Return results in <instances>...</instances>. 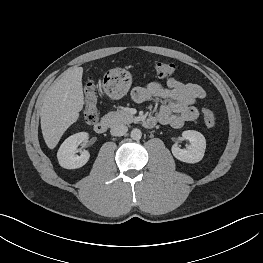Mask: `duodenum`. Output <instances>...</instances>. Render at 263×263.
<instances>
[{
  "label": "duodenum",
  "instance_id": "1",
  "mask_svg": "<svg viewBox=\"0 0 263 263\" xmlns=\"http://www.w3.org/2000/svg\"><path fill=\"white\" fill-rule=\"evenodd\" d=\"M143 125L147 128H151L156 124V120L154 117H146L143 120ZM111 124V120L110 119H102L100 121H98L95 125H94V130L98 133V134H104L108 131L109 127Z\"/></svg>",
  "mask_w": 263,
  "mask_h": 263
}]
</instances>
